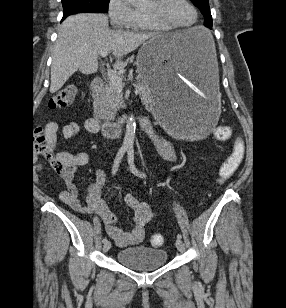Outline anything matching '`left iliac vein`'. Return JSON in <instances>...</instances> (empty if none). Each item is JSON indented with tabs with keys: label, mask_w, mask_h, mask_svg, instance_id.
I'll use <instances>...</instances> for the list:
<instances>
[{
	"label": "left iliac vein",
	"mask_w": 286,
	"mask_h": 308,
	"mask_svg": "<svg viewBox=\"0 0 286 308\" xmlns=\"http://www.w3.org/2000/svg\"><path fill=\"white\" fill-rule=\"evenodd\" d=\"M176 247H177L178 251L183 252L184 249H185L184 242L181 239H177L176 240Z\"/></svg>",
	"instance_id": "obj_1"
}]
</instances>
